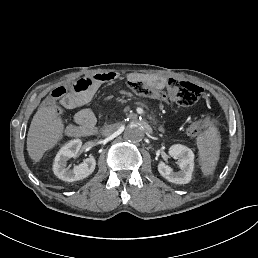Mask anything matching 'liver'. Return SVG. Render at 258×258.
<instances>
[{
	"mask_svg": "<svg viewBox=\"0 0 258 258\" xmlns=\"http://www.w3.org/2000/svg\"><path fill=\"white\" fill-rule=\"evenodd\" d=\"M63 125L56 116V107L40 108L34 115L27 138L28 153L38 161L61 137Z\"/></svg>",
	"mask_w": 258,
	"mask_h": 258,
	"instance_id": "6515ba94",
	"label": "liver"
}]
</instances>
